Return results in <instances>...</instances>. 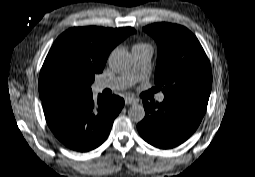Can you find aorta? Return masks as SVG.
I'll return each instance as SVG.
<instances>
[{
	"instance_id": "obj_1",
	"label": "aorta",
	"mask_w": 255,
	"mask_h": 177,
	"mask_svg": "<svg viewBox=\"0 0 255 177\" xmlns=\"http://www.w3.org/2000/svg\"><path fill=\"white\" fill-rule=\"evenodd\" d=\"M110 68L121 73L130 69L132 64V55L124 49H115L108 58ZM128 117L133 122H140L145 117L144 107L140 104H133L128 110Z\"/></svg>"
}]
</instances>
